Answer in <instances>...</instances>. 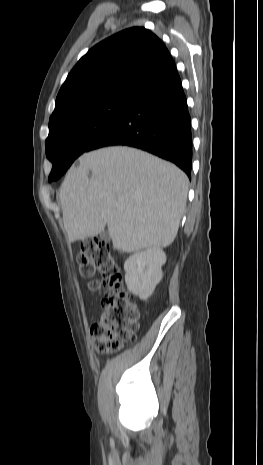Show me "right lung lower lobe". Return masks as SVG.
Wrapping results in <instances>:
<instances>
[{"label": "right lung lower lobe", "mask_w": 263, "mask_h": 465, "mask_svg": "<svg viewBox=\"0 0 263 465\" xmlns=\"http://www.w3.org/2000/svg\"><path fill=\"white\" fill-rule=\"evenodd\" d=\"M112 145L146 150L191 178V119L177 71L139 91L126 113L88 151Z\"/></svg>", "instance_id": "98d812e1"}]
</instances>
